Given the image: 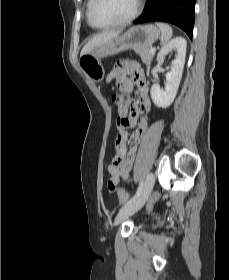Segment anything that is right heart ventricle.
Here are the masks:
<instances>
[{
    "instance_id": "1",
    "label": "right heart ventricle",
    "mask_w": 229,
    "mask_h": 280,
    "mask_svg": "<svg viewBox=\"0 0 229 280\" xmlns=\"http://www.w3.org/2000/svg\"><path fill=\"white\" fill-rule=\"evenodd\" d=\"M92 2H93V0H88L87 5H86V18H87L88 23H89V10H90V7L92 5ZM89 25H90V23H89Z\"/></svg>"
}]
</instances>
